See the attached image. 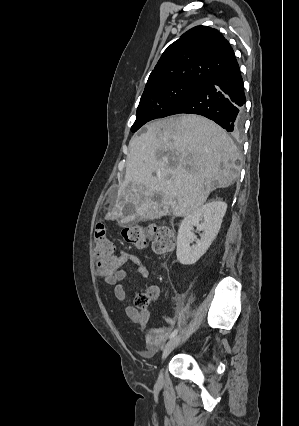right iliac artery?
<instances>
[{"mask_svg": "<svg viewBox=\"0 0 299 426\" xmlns=\"http://www.w3.org/2000/svg\"><path fill=\"white\" fill-rule=\"evenodd\" d=\"M177 333H178V329H175L174 331H172L171 334L169 335V339L173 338Z\"/></svg>", "mask_w": 299, "mask_h": 426, "instance_id": "obj_1", "label": "right iliac artery"}]
</instances>
